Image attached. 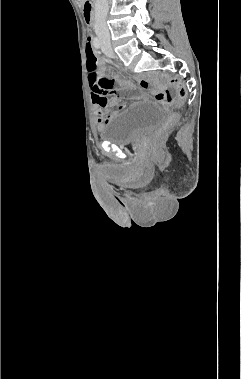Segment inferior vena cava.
<instances>
[{
  "instance_id": "inferior-vena-cava-1",
  "label": "inferior vena cava",
  "mask_w": 241,
  "mask_h": 379,
  "mask_svg": "<svg viewBox=\"0 0 241 379\" xmlns=\"http://www.w3.org/2000/svg\"><path fill=\"white\" fill-rule=\"evenodd\" d=\"M109 11V0H95V32L99 38L110 40L106 18Z\"/></svg>"
}]
</instances>
